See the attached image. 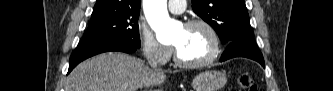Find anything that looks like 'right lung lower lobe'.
I'll list each match as a JSON object with an SVG mask.
<instances>
[{
  "mask_svg": "<svg viewBox=\"0 0 333 91\" xmlns=\"http://www.w3.org/2000/svg\"><path fill=\"white\" fill-rule=\"evenodd\" d=\"M137 49H138L137 47L130 46L123 42L115 40L80 41L70 57L68 74L81 61L89 57H92L94 55L109 51H121L125 53H133Z\"/></svg>",
  "mask_w": 333,
  "mask_h": 91,
  "instance_id": "1",
  "label": "right lung lower lobe"
}]
</instances>
